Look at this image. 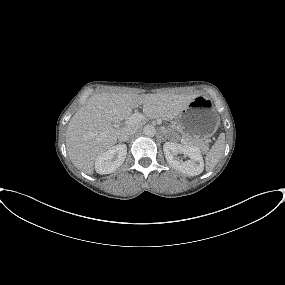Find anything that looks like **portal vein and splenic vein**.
Returning a JSON list of instances; mask_svg holds the SVG:
<instances>
[{"instance_id": "1", "label": "portal vein and splenic vein", "mask_w": 285, "mask_h": 285, "mask_svg": "<svg viewBox=\"0 0 285 285\" xmlns=\"http://www.w3.org/2000/svg\"><path fill=\"white\" fill-rule=\"evenodd\" d=\"M143 119H144V115L140 113H135V114H132L129 118H127V120L125 121V124L138 123Z\"/></svg>"}]
</instances>
